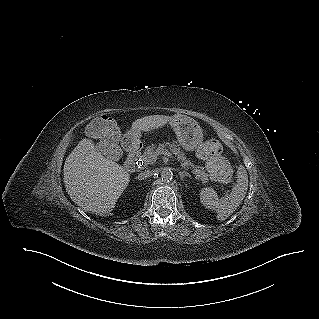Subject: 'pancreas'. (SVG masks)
I'll return each instance as SVG.
<instances>
[{"label": "pancreas", "instance_id": "obj_1", "mask_svg": "<svg viewBox=\"0 0 319 319\" xmlns=\"http://www.w3.org/2000/svg\"><path fill=\"white\" fill-rule=\"evenodd\" d=\"M168 146L170 151L177 157V160L181 162V165L186 169H193L192 172L198 176L204 183L209 181L208 174L205 173L204 168L200 166H194L189 160L186 159L184 152L180 150V148L174 143H166V144H159L157 148L154 146H149L145 152L139 156V159L144 163V166H148L155 162L152 159V156L158 152L167 150L165 147Z\"/></svg>", "mask_w": 319, "mask_h": 319}]
</instances>
